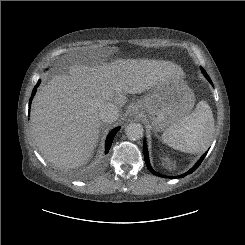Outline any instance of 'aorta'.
<instances>
[{"label": "aorta", "instance_id": "obj_1", "mask_svg": "<svg viewBox=\"0 0 245 245\" xmlns=\"http://www.w3.org/2000/svg\"><path fill=\"white\" fill-rule=\"evenodd\" d=\"M125 133L129 140L136 141L143 137L144 129L139 123H130L126 126Z\"/></svg>", "mask_w": 245, "mask_h": 245}]
</instances>
